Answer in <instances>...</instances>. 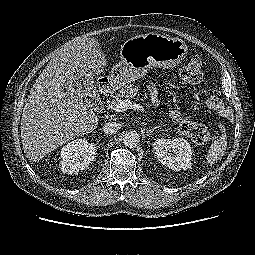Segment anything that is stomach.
Listing matches in <instances>:
<instances>
[{"instance_id":"obj_1","label":"stomach","mask_w":255,"mask_h":255,"mask_svg":"<svg viewBox=\"0 0 255 255\" xmlns=\"http://www.w3.org/2000/svg\"><path fill=\"white\" fill-rule=\"evenodd\" d=\"M187 53V45L177 38L157 33L133 36L121 45L120 62L111 69L109 84L118 89L144 77L152 67L173 68Z\"/></svg>"}]
</instances>
